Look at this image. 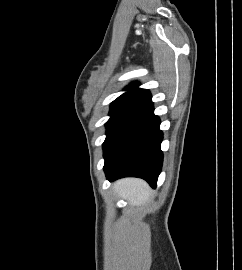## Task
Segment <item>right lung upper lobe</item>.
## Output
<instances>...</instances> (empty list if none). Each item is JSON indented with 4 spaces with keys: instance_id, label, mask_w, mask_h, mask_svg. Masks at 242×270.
Returning <instances> with one entry per match:
<instances>
[{
    "instance_id": "cb5924a9",
    "label": "right lung upper lobe",
    "mask_w": 242,
    "mask_h": 270,
    "mask_svg": "<svg viewBox=\"0 0 242 270\" xmlns=\"http://www.w3.org/2000/svg\"><path fill=\"white\" fill-rule=\"evenodd\" d=\"M139 83L135 82L126 87V93L119 96L111 103L112 105H127L139 107L151 101V94L147 89L138 88Z\"/></svg>"
}]
</instances>
